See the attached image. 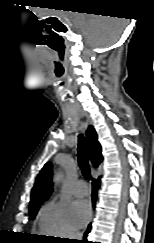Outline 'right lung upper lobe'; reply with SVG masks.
Wrapping results in <instances>:
<instances>
[{
	"label": "right lung upper lobe",
	"mask_w": 154,
	"mask_h": 243,
	"mask_svg": "<svg viewBox=\"0 0 154 243\" xmlns=\"http://www.w3.org/2000/svg\"><path fill=\"white\" fill-rule=\"evenodd\" d=\"M87 147L90 159L92 160L94 166H98L103 160L101 155V146L97 140V134L93 126H89L87 132ZM51 174H52V164L50 162L46 163L40 173L37 176L35 185L31 192V200L29 208L39 206L43 203L51 194Z\"/></svg>",
	"instance_id": "right-lung-upper-lobe-1"
}]
</instances>
